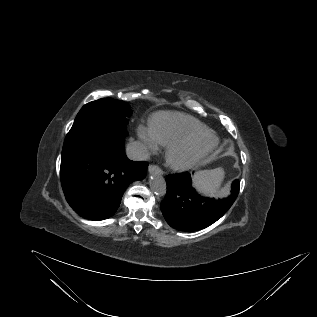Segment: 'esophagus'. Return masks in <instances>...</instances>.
<instances>
[{
	"instance_id": "1",
	"label": "esophagus",
	"mask_w": 317,
	"mask_h": 317,
	"mask_svg": "<svg viewBox=\"0 0 317 317\" xmlns=\"http://www.w3.org/2000/svg\"><path fill=\"white\" fill-rule=\"evenodd\" d=\"M148 172L149 173H156V174H159V175L163 174L162 169L160 167H158L157 165H154V164L149 165Z\"/></svg>"
}]
</instances>
